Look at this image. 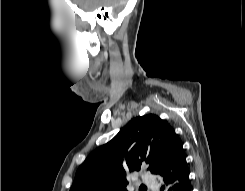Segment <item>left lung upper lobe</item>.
I'll list each match as a JSON object with an SVG mask.
<instances>
[{
	"label": "left lung upper lobe",
	"instance_id": "obj_1",
	"mask_svg": "<svg viewBox=\"0 0 245 191\" xmlns=\"http://www.w3.org/2000/svg\"><path fill=\"white\" fill-rule=\"evenodd\" d=\"M180 148L182 143L167 122L154 114L138 116L86 158L70 191H127L128 172L147 166L160 174Z\"/></svg>",
	"mask_w": 245,
	"mask_h": 191
}]
</instances>
